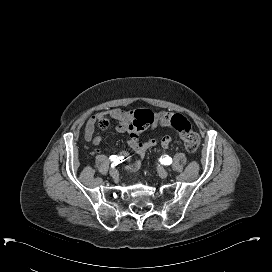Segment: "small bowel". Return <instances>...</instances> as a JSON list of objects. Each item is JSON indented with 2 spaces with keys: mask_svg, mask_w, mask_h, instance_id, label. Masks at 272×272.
<instances>
[{
  "mask_svg": "<svg viewBox=\"0 0 272 272\" xmlns=\"http://www.w3.org/2000/svg\"><path fill=\"white\" fill-rule=\"evenodd\" d=\"M133 114L129 111L122 110L120 108H113L106 111L99 112L91 116L85 125V139L91 140L94 145H99L103 138L102 136H94V128L98 120L102 118L113 119L116 121L115 129L119 133H131L136 129H133L131 126ZM170 114L167 112H159L155 114V119L151 125V128L156 127H167L170 126ZM172 143V138L170 136H164L161 139V146L163 149H168ZM157 144L156 139L149 138L144 143H136L134 141L130 142V148L139 156H143L145 152L154 147ZM124 153L122 152L121 155ZM140 167V161L135 160L127 167L128 170H136Z\"/></svg>",
  "mask_w": 272,
  "mask_h": 272,
  "instance_id": "obj_1",
  "label": "small bowel"
}]
</instances>
